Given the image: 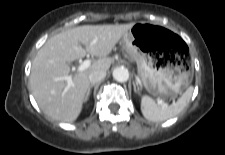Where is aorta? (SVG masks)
Returning a JSON list of instances; mask_svg holds the SVG:
<instances>
[{
    "label": "aorta",
    "mask_w": 225,
    "mask_h": 155,
    "mask_svg": "<svg viewBox=\"0 0 225 155\" xmlns=\"http://www.w3.org/2000/svg\"><path fill=\"white\" fill-rule=\"evenodd\" d=\"M113 78L118 82H126L129 79V72L124 67H117L113 70Z\"/></svg>",
    "instance_id": "obj_1"
}]
</instances>
